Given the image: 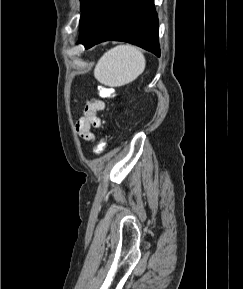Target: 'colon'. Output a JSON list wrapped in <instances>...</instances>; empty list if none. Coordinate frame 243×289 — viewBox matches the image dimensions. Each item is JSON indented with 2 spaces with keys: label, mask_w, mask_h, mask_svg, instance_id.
Segmentation results:
<instances>
[{
  "label": "colon",
  "mask_w": 243,
  "mask_h": 289,
  "mask_svg": "<svg viewBox=\"0 0 243 289\" xmlns=\"http://www.w3.org/2000/svg\"><path fill=\"white\" fill-rule=\"evenodd\" d=\"M98 92H99V95L103 98H111L115 95V91L113 88L111 87H106V86H99L98 87ZM106 145H107V140L105 137H103L98 145L96 146L95 148V153L96 154H101L104 152L105 148H106Z\"/></svg>",
  "instance_id": "1"
}]
</instances>
